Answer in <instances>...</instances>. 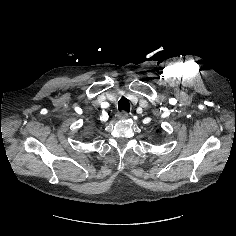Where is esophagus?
<instances>
[{
	"label": "esophagus",
	"mask_w": 236,
	"mask_h": 236,
	"mask_svg": "<svg viewBox=\"0 0 236 236\" xmlns=\"http://www.w3.org/2000/svg\"><path fill=\"white\" fill-rule=\"evenodd\" d=\"M129 116V114L125 111L119 112L118 113V118L119 119H126Z\"/></svg>",
	"instance_id": "obj_1"
}]
</instances>
